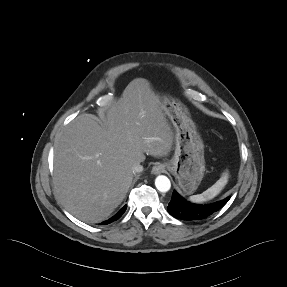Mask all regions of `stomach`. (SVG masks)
<instances>
[{
    "mask_svg": "<svg viewBox=\"0 0 287 287\" xmlns=\"http://www.w3.org/2000/svg\"><path fill=\"white\" fill-rule=\"evenodd\" d=\"M175 129V151L167 163L185 194L194 193L205 172L204 144L187 108L179 101L163 97L160 101Z\"/></svg>",
    "mask_w": 287,
    "mask_h": 287,
    "instance_id": "0dacf381",
    "label": "stomach"
}]
</instances>
